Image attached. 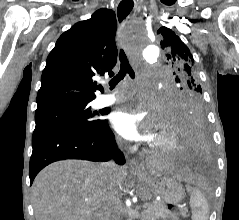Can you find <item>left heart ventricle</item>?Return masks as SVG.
<instances>
[{
	"label": "left heart ventricle",
	"instance_id": "1",
	"mask_svg": "<svg viewBox=\"0 0 239 220\" xmlns=\"http://www.w3.org/2000/svg\"><path fill=\"white\" fill-rule=\"evenodd\" d=\"M164 138H165V135H164L163 129H160L159 131H157L154 134L152 141L153 142H161L164 140Z\"/></svg>",
	"mask_w": 239,
	"mask_h": 220
}]
</instances>
